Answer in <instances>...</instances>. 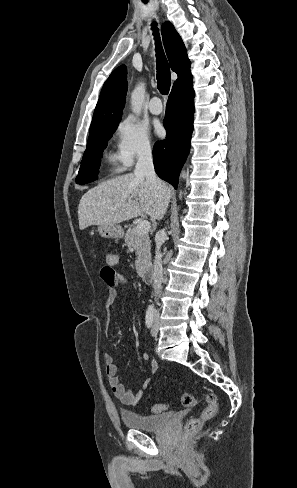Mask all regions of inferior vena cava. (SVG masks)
<instances>
[{
	"instance_id": "inferior-vena-cava-1",
	"label": "inferior vena cava",
	"mask_w": 297,
	"mask_h": 488,
	"mask_svg": "<svg viewBox=\"0 0 297 488\" xmlns=\"http://www.w3.org/2000/svg\"><path fill=\"white\" fill-rule=\"evenodd\" d=\"M135 176H143L146 178L148 182H150L155 187L161 189L163 187L162 181L156 176L154 165H153V158H152V150L150 145H145L142 147L138 161L136 163V167L134 170ZM166 233L165 230H160L156 234V251H155V260H154V272H153V288L155 290V296L159 294V290L161 288V284L163 282V266H162V254L160 252V247L166 240ZM156 301V298H155ZM154 316L159 317V311H154Z\"/></svg>"
}]
</instances>
